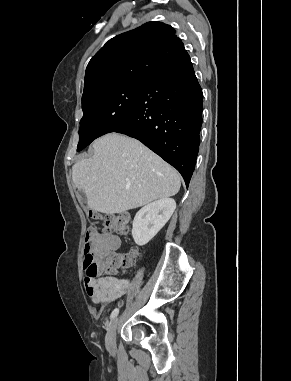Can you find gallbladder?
I'll use <instances>...</instances> for the list:
<instances>
[{"mask_svg": "<svg viewBox=\"0 0 291 381\" xmlns=\"http://www.w3.org/2000/svg\"><path fill=\"white\" fill-rule=\"evenodd\" d=\"M78 193H79L81 201L86 203L87 199H86L85 193L82 190H79Z\"/></svg>", "mask_w": 291, "mask_h": 381, "instance_id": "gallbladder-1", "label": "gallbladder"}]
</instances>
